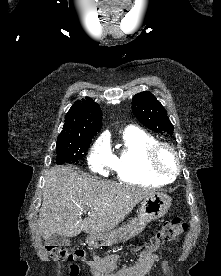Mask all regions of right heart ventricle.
I'll return each mask as SVG.
<instances>
[{"mask_svg": "<svg viewBox=\"0 0 221 276\" xmlns=\"http://www.w3.org/2000/svg\"><path fill=\"white\" fill-rule=\"evenodd\" d=\"M156 141L150 133L137 127H128L124 130L113 163V169L121 182L155 186L171 180L168 177L154 175L147 167L146 151Z\"/></svg>", "mask_w": 221, "mask_h": 276, "instance_id": "obj_1", "label": "right heart ventricle"}]
</instances>
